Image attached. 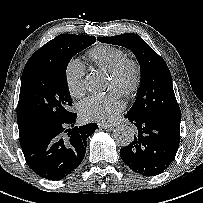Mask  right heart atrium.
I'll list each match as a JSON object with an SVG mask.
<instances>
[{"label": "right heart atrium", "mask_w": 203, "mask_h": 203, "mask_svg": "<svg viewBox=\"0 0 203 203\" xmlns=\"http://www.w3.org/2000/svg\"><path fill=\"white\" fill-rule=\"evenodd\" d=\"M85 67L78 59H71L65 69V82L70 94L74 97L81 96L85 91Z\"/></svg>", "instance_id": "right-heart-atrium-1"}]
</instances>
